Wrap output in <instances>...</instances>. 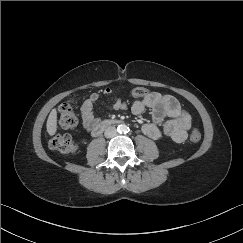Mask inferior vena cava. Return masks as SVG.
Returning a JSON list of instances; mask_svg holds the SVG:
<instances>
[{
  "label": "inferior vena cava",
  "mask_w": 243,
  "mask_h": 243,
  "mask_svg": "<svg viewBox=\"0 0 243 243\" xmlns=\"http://www.w3.org/2000/svg\"><path fill=\"white\" fill-rule=\"evenodd\" d=\"M104 135L106 138H112L117 135V130L115 127H108L106 128Z\"/></svg>",
  "instance_id": "obj_1"
}]
</instances>
